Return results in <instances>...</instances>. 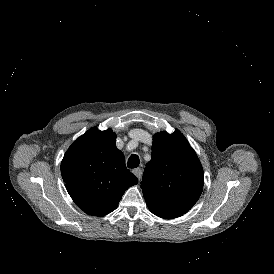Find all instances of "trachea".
Returning <instances> with one entry per match:
<instances>
[{
	"instance_id": "3493384b",
	"label": "trachea",
	"mask_w": 274,
	"mask_h": 274,
	"mask_svg": "<svg viewBox=\"0 0 274 274\" xmlns=\"http://www.w3.org/2000/svg\"><path fill=\"white\" fill-rule=\"evenodd\" d=\"M139 163H140L139 157L136 154H132L128 159L127 166L128 168L133 169L138 167Z\"/></svg>"
}]
</instances>
